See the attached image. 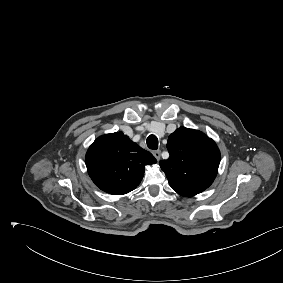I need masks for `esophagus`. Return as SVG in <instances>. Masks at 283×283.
Here are the masks:
<instances>
[{
    "label": "esophagus",
    "mask_w": 283,
    "mask_h": 283,
    "mask_svg": "<svg viewBox=\"0 0 283 283\" xmlns=\"http://www.w3.org/2000/svg\"><path fill=\"white\" fill-rule=\"evenodd\" d=\"M154 157L157 159V161L160 160L161 157V151L160 150H156L153 152Z\"/></svg>",
    "instance_id": "1"
}]
</instances>
